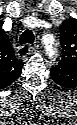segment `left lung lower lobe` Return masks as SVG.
Here are the masks:
<instances>
[{"mask_svg": "<svg viewBox=\"0 0 77 125\" xmlns=\"http://www.w3.org/2000/svg\"><path fill=\"white\" fill-rule=\"evenodd\" d=\"M69 73L72 74V67L65 66V65H57L51 69V76L52 79L55 81L63 79V75ZM68 75H66L67 77Z\"/></svg>", "mask_w": 77, "mask_h": 125, "instance_id": "left-lung-lower-lobe-1", "label": "left lung lower lobe"}]
</instances>
